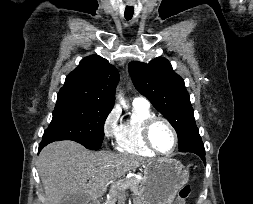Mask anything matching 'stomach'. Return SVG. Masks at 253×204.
Returning a JSON list of instances; mask_svg holds the SVG:
<instances>
[{"label": "stomach", "mask_w": 253, "mask_h": 204, "mask_svg": "<svg viewBox=\"0 0 253 204\" xmlns=\"http://www.w3.org/2000/svg\"><path fill=\"white\" fill-rule=\"evenodd\" d=\"M187 181L188 171L178 160H153L143 166L138 197L142 204H172Z\"/></svg>", "instance_id": "1"}]
</instances>
